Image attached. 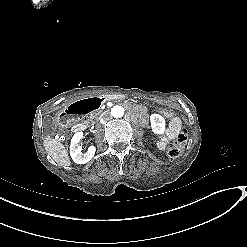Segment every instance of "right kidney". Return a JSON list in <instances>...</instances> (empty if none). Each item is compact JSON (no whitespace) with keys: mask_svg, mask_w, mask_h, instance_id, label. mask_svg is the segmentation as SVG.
Instances as JSON below:
<instances>
[{"mask_svg":"<svg viewBox=\"0 0 247 247\" xmlns=\"http://www.w3.org/2000/svg\"><path fill=\"white\" fill-rule=\"evenodd\" d=\"M83 137V132H76L73 135L70 143V156L77 164H85L89 162L94 157L96 151L95 146L88 147L86 152L82 151V147L79 143Z\"/></svg>","mask_w":247,"mask_h":247,"instance_id":"ca27d5eb","label":"right kidney"}]
</instances>
